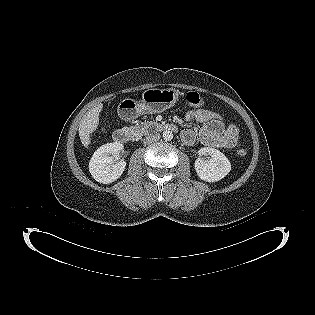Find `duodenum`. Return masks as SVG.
I'll return each mask as SVG.
<instances>
[{
    "instance_id": "410a0bca",
    "label": "duodenum",
    "mask_w": 315,
    "mask_h": 315,
    "mask_svg": "<svg viewBox=\"0 0 315 315\" xmlns=\"http://www.w3.org/2000/svg\"><path fill=\"white\" fill-rule=\"evenodd\" d=\"M155 127L161 131L176 132L177 126L172 123H157ZM134 137L133 132L129 128H119L113 134V139L116 143H126Z\"/></svg>"
}]
</instances>
